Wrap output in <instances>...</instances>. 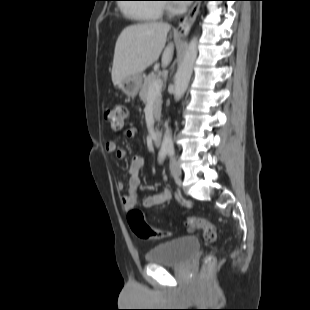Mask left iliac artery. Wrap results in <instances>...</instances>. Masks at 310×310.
I'll use <instances>...</instances> for the list:
<instances>
[{
	"mask_svg": "<svg viewBox=\"0 0 310 310\" xmlns=\"http://www.w3.org/2000/svg\"><path fill=\"white\" fill-rule=\"evenodd\" d=\"M167 152H168V154H169L170 156H173V155H174V148H173V147H169V148L167 149Z\"/></svg>",
	"mask_w": 310,
	"mask_h": 310,
	"instance_id": "1",
	"label": "left iliac artery"
}]
</instances>
